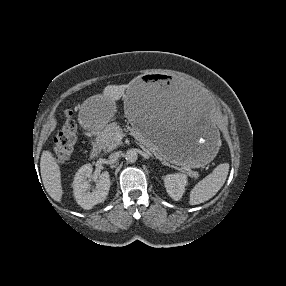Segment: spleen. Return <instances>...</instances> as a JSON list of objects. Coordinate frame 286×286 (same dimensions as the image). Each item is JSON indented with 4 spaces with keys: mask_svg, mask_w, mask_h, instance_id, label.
Listing matches in <instances>:
<instances>
[{
    "mask_svg": "<svg viewBox=\"0 0 286 286\" xmlns=\"http://www.w3.org/2000/svg\"><path fill=\"white\" fill-rule=\"evenodd\" d=\"M228 172V163L218 165L212 173L192 188L189 195V204L197 205L211 199L224 185Z\"/></svg>",
    "mask_w": 286,
    "mask_h": 286,
    "instance_id": "obj_1",
    "label": "spleen"
}]
</instances>
